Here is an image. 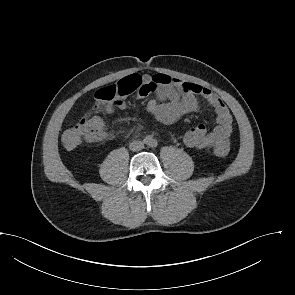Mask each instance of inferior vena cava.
Segmentation results:
<instances>
[{"label": "inferior vena cava", "mask_w": 295, "mask_h": 295, "mask_svg": "<svg viewBox=\"0 0 295 295\" xmlns=\"http://www.w3.org/2000/svg\"><path fill=\"white\" fill-rule=\"evenodd\" d=\"M129 148L131 151H140L144 148V143L140 140H134L130 143Z\"/></svg>", "instance_id": "602c4592"}]
</instances>
